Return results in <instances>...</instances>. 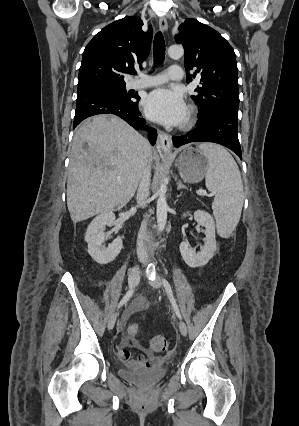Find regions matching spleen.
Here are the masks:
<instances>
[{"instance_id": "3e777b00", "label": "spleen", "mask_w": 299, "mask_h": 426, "mask_svg": "<svg viewBox=\"0 0 299 426\" xmlns=\"http://www.w3.org/2000/svg\"><path fill=\"white\" fill-rule=\"evenodd\" d=\"M199 150L208 158L206 187L215 193L212 205L217 230L223 237L229 236L237 226L244 201L243 184L239 168L223 147L204 143Z\"/></svg>"}]
</instances>
